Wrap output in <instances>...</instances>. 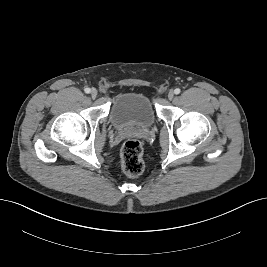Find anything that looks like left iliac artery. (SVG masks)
Here are the masks:
<instances>
[{
	"label": "left iliac artery",
	"mask_w": 267,
	"mask_h": 267,
	"mask_svg": "<svg viewBox=\"0 0 267 267\" xmlns=\"http://www.w3.org/2000/svg\"><path fill=\"white\" fill-rule=\"evenodd\" d=\"M181 92V90L179 89V88H176L175 90H174V93L175 94H179Z\"/></svg>",
	"instance_id": "obj_1"
}]
</instances>
